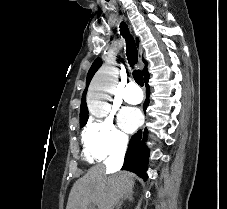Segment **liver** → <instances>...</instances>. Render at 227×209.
I'll use <instances>...</instances> for the list:
<instances>
[{"instance_id":"6515ba94","label":"liver","mask_w":227,"mask_h":209,"mask_svg":"<svg viewBox=\"0 0 227 209\" xmlns=\"http://www.w3.org/2000/svg\"><path fill=\"white\" fill-rule=\"evenodd\" d=\"M133 187L132 173L122 171L107 177L104 165H97L74 183L66 209H88L90 203L108 209L124 195H130Z\"/></svg>"}]
</instances>
